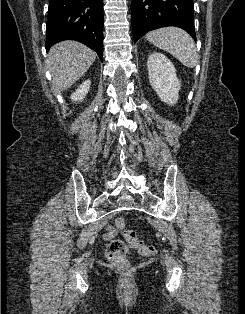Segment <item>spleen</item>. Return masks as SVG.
Listing matches in <instances>:
<instances>
[{
  "label": "spleen",
  "mask_w": 245,
  "mask_h": 314,
  "mask_svg": "<svg viewBox=\"0 0 245 314\" xmlns=\"http://www.w3.org/2000/svg\"><path fill=\"white\" fill-rule=\"evenodd\" d=\"M145 38L156 47L170 53L184 66L194 68L197 50L192 37L178 27H165L150 31Z\"/></svg>",
  "instance_id": "1"
}]
</instances>
